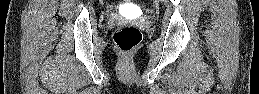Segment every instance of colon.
<instances>
[{"mask_svg": "<svg viewBox=\"0 0 259 94\" xmlns=\"http://www.w3.org/2000/svg\"><path fill=\"white\" fill-rule=\"evenodd\" d=\"M142 34L133 25H124L115 30L113 40L116 47L124 55L130 54L141 42Z\"/></svg>", "mask_w": 259, "mask_h": 94, "instance_id": "colon-1", "label": "colon"}]
</instances>
